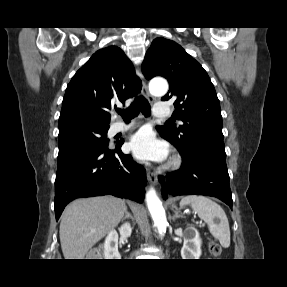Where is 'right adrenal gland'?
I'll list each match as a JSON object with an SVG mask.
<instances>
[{
	"label": "right adrenal gland",
	"mask_w": 287,
	"mask_h": 287,
	"mask_svg": "<svg viewBox=\"0 0 287 287\" xmlns=\"http://www.w3.org/2000/svg\"><path fill=\"white\" fill-rule=\"evenodd\" d=\"M127 218H131V219L133 220L132 215H131L128 211L125 212V217H124V219H127Z\"/></svg>",
	"instance_id": "obj_1"
}]
</instances>
